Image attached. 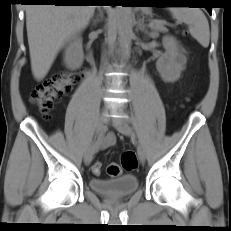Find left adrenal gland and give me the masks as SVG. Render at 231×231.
<instances>
[{
  "mask_svg": "<svg viewBox=\"0 0 231 231\" xmlns=\"http://www.w3.org/2000/svg\"><path fill=\"white\" fill-rule=\"evenodd\" d=\"M138 28H139L140 31L144 32L146 35L151 37V33L146 28L143 19L138 21Z\"/></svg>",
  "mask_w": 231,
  "mask_h": 231,
  "instance_id": "a2214340",
  "label": "left adrenal gland"
}]
</instances>
